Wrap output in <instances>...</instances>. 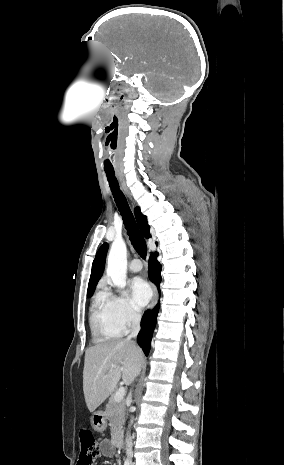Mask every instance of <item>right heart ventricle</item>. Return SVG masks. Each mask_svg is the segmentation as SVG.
Returning <instances> with one entry per match:
<instances>
[{
  "label": "right heart ventricle",
  "mask_w": 284,
  "mask_h": 465,
  "mask_svg": "<svg viewBox=\"0 0 284 465\" xmlns=\"http://www.w3.org/2000/svg\"><path fill=\"white\" fill-rule=\"evenodd\" d=\"M89 326L93 342L102 344L120 338L125 330L116 322L108 304L97 298L91 307Z\"/></svg>",
  "instance_id": "e07e8e85"
}]
</instances>
